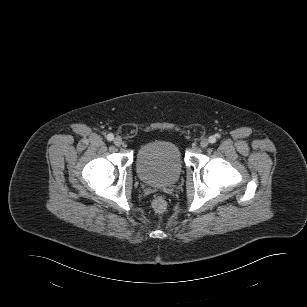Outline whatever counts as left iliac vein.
<instances>
[{
  "instance_id": "4c4485c4",
  "label": "left iliac vein",
  "mask_w": 307,
  "mask_h": 307,
  "mask_svg": "<svg viewBox=\"0 0 307 307\" xmlns=\"http://www.w3.org/2000/svg\"><path fill=\"white\" fill-rule=\"evenodd\" d=\"M209 144V141L207 139H202L201 142H200V146L202 148H206Z\"/></svg>"
}]
</instances>
